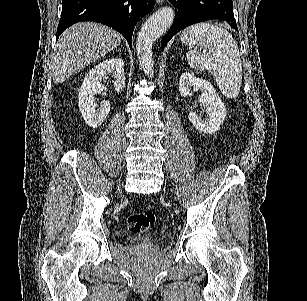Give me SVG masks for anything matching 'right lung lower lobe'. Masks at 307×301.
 Returning a JSON list of instances; mask_svg holds the SVG:
<instances>
[{
  "instance_id": "right-lung-lower-lobe-1",
  "label": "right lung lower lobe",
  "mask_w": 307,
  "mask_h": 301,
  "mask_svg": "<svg viewBox=\"0 0 307 301\" xmlns=\"http://www.w3.org/2000/svg\"><path fill=\"white\" fill-rule=\"evenodd\" d=\"M155 0H62L57 38L81 21L103 23L120 32L131 47L134 26L154 8Z\"/></svg>"
}]
</instances>
